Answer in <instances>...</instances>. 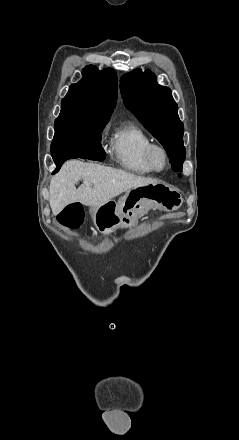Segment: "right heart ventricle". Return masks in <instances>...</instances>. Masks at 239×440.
Returning a JSON list of instances; mask_svg holds the SVG:
<instances>
[{"label":"right heart ventricle","instance_id":"right-heart-ventricle-1","mask_svg":"<svg viewBox=\"0 0 239 440\" xmlns=\"http://www.w3.org/2000/svg\"><path fill=\"white\" fill-rule=\"evenodd\" d=\"M152 139L141 127L126 124L113 131L110 147L115 163L132 173L147 175L154 171L148 164L146 151Z\"/></svg>","mask_w":239,"mask_h":440}]
</instances>
